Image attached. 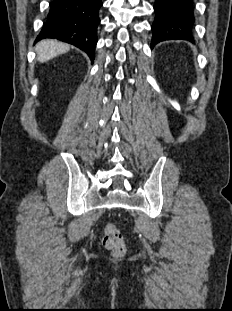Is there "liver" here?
I'll list each match as a JSON object with an SVG mask.
<instances>
[{"label":"liver","mask_w":232,"mask_h":311,"mask_svg":"<svg viewBox=\"0 0 232 311\" xmlns=\"http://www.w3.org/2000/svg\"><path fill=\"white\" fill-rule=\"evenodd\" d=\"M69 49V45L52 39L43 40L35 47L37 59L41 63L47 62L60 54L66 53Z\"/></svg>","instance_id":"1"}]
</instances>
